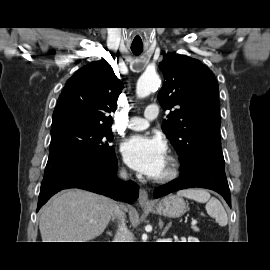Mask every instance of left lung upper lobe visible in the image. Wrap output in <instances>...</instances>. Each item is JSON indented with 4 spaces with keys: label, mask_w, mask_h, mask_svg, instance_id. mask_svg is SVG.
I'll use <instances>...</instances> for the list:
<instances>
[{
    "label": "left lung upper lobe",
    "mask_w": 270,
    "mask_h": 270,
    "mask_svg": "<svg viewBox=\"0 0 270 270\" xmlns=\"http://www.w3.org/2000/svg\"><path fill=\"white\" fill-rule=\"evenodd\" d=\"M164 85L158 100L170 110L162 123L181 165L198 156H223L221 150L218 83L199 60L168 53L159 64Z\"/></svg>",
    "instance_id": "obj_1"
}]
</instances>
